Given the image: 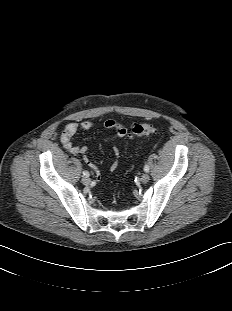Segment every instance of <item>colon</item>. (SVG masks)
<instances>
[{"label":"colon","mask_w":232,"mask_h":311,"mask_svg":"<svg viewBox=\"0 0 232 311\" xmlns=\"http://www.w3.org/2000/svg\"><path fill=\"white\" fill-rule=\"evenodd\" d=\"M157 132L155 125L151 123L135 124L131 129V135L134 137L149 136Z\"/></svg>","instance_id":"obj_1"}]
</instances>
